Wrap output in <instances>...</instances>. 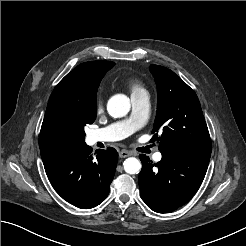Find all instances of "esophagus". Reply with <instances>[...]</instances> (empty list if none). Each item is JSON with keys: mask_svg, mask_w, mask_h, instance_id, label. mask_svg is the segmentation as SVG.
<instances>
[{"mask_svg": "<svg viewBox=\"0 0 246 246\" xmlns=\"http://www.w3.org/2000/svg\"><path fill=\"white\" fill-rule=\"evenodd\" d=\"M131 155H132V153L130 151L122 150L119 152L120 158H126V157H129Z\"/></svg>", "mask_w": 246, "mask_h": 246, "instance_id": "34e87169", "label": "esophagus"}]
</instances>
